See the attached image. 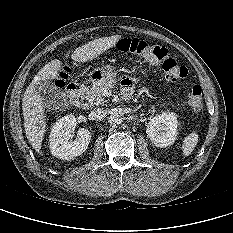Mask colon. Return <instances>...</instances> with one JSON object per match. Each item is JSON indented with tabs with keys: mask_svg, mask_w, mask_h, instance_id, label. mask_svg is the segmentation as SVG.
I'll use <instances>...</instances> for the list:
<instances>
[{
	"mask_svg": "<svg viewBox=\"0 0 233 233\" xmlns=\"http://www.w3.org/2000/svg\"><path fill=\"white\" fill-rule=\"evenodd\" d=\"M118 48L125 53L161 63L163 76L169 82H176L185 78L188 70L179 64L169 54V51L160 45L148 44L139 39L125 38L119 41ZM189 106L194 111L201 110L203 106V90L199 84H195L188 96Z\"/></svg>",
	"mask_w": 233,
	"mask_h": 233,
	"instance_id": "1",
	"label": "colon"
}]
</instances>
